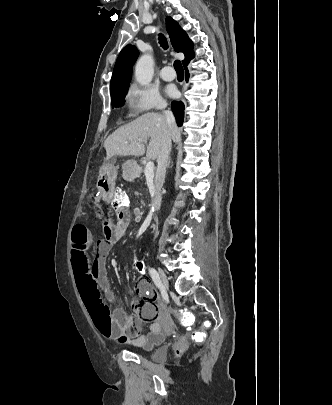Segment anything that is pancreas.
Wrapping results in <instances>:
<instances>
[{"label": "pancreas", "mask_w": 332, "mask_h": 405, "mask_svg": "<svg viewBox=\"0 0 332 405\" xmlns=\"http://www.w3.org/2000/svg\"><path fill=\"white\" fill-rule=\"evenodd\" d=\"M141 172H142V169L139 170V173H141Z\"/></svg>", "instance_id": "1"}]
</instances>
